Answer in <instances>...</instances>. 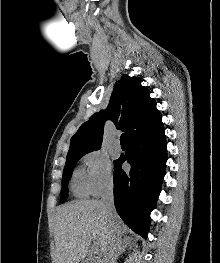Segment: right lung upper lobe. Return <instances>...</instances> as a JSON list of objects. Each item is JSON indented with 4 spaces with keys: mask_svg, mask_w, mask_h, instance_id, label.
<instances>
[{
    "mask_svg": "<svg viewBox=\"0 0 220 263\" xmlns=\"http://www.w3.org/2000/svg\"><path fill=\"white\" fill-rule=\"evenodd\" d=\"M107 119L126 133L127 141L163 128L162 116L149 89L141 85L140 78L124 74L114 86L108 108L92 115L71 138L68 154L98 150Z\"/></svg>",
    "mask_w": 220,
    "mask_h": 263,
    "instance_id": "cb5924a9",
    "label": "right lung upper lobe"
}]
</instances>
